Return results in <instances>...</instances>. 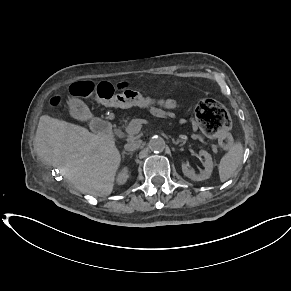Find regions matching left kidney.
Listing matches in <instances>:
<instances>
[{
    "label": "left kidney",
    "mask_w": 291,
    "mask_h": 291,
    "mask_svg": "<svg viewBox=\"0 0 291 291\" xmlns=\"http://www.w3.org/2000/svg\"><path fill=\"white\" fill-rule=\"evenodd\" d=\"M199 155L205 158V169L199 175L195 174L194 170L189 169V165L187 163H182L183 174L194 181H202L210 178L213 171V161L211 155L205 150H200Z\"/></svg>",
    "instance_id": "obj_1"
}]
</instances>
